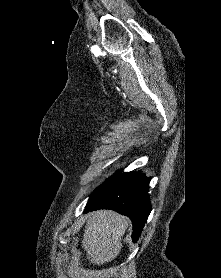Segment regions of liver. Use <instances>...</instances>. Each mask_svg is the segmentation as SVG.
Segmentation results:
<instances>
[{"label": "liver", "mask_w": 221, "mask_h": 278, "mask_svg": "<svg viewBox=\"0 0 221 278\" xmlns=\"http://www.w3.org/2000/svg\"><path fill=\"white\" fill-rule=\"evenodd\" d=\"M129 219L111 210L88 214L82 247L91 263L100 265L114 260L122 248V237Z\"/></svg>", "instance_id": "liver-1"}]
</instances>
